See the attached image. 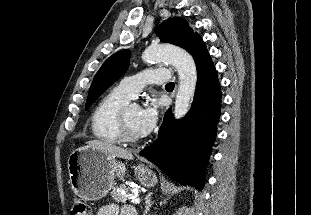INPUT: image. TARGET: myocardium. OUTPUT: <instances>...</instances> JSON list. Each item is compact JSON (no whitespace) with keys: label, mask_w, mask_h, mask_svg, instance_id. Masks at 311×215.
Listing matches in <instances>:
<instances>
[{"label":"myocardium","mask_w":311,"mask_h":215,"mask_svg":"<svg viewBox=\"0 0 311 215\" xmlns=\"http://www.w3.org/2000/svg\"><path fill=\"white\" fill-rule=\"evenodd\" d=\"M133 105H137V104L136 103L126 104L125 106L121 108L119 115H118V123H119L122 141L130 143V144H135L140 141L139 137L135 136L130 131L128 124H127V120H126L127 111Z\"/></svg>","instance_id":"1"}]
</instances>
